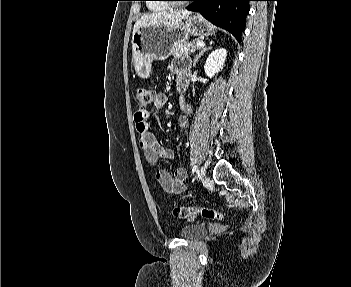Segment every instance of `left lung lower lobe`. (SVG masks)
<instances>
[{"instance_id": "0a47b994", "label": "left lung lower lobe", "mask_w": 351, "mask_h": 287, "mask_svg": "<svg viewBox=\"0 0 351 287\" xmlns=\"http://www.w3.org/2000/svg\"><path fill=\"white\" fill-rule=\"evenodd\" d=\"M193 4L187 10L200 12L207 20L230 31L241 41L245 29V18L252 0H190Z\"/></svg>"}]
</instances>
